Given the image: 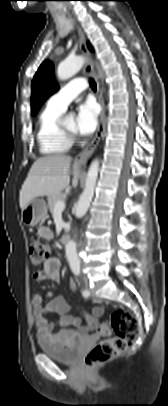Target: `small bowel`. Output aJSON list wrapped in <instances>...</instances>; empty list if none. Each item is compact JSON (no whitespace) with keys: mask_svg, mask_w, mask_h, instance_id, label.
Here are the masks:
<instances>
[{"mask_svg":"<svg viewBox=\"0 0 168 406\" xmlns=\"http://www.w3.org/2000/svg\"><path fill=\"white\" fill-rule=\"evenodd\" d=\"M38 235L45 239L52 237V231L49 227L42 226L38 229ZM60 260L57 257L48 259L42 270L34 273V280L38 283H55L59 280ZM71 290L76 289L75 281L69 283ZM51 300L43 305V297L35 294L32 297L33 317L38 329L39 337L56 345L73 346L79 339L89 337L90 332L99 331L98 318L103 314V308L95 306L91 314H86V326H81V319L69 314V305L62 297H53L52 293H47ZM48 313H57L60 315L59 330L55 329V324L49 322L46 318Z\"/></svg>","mask_w":168,"mask_h":406,"instance_id":"small-bowel-1","label":"small bowel"}]
</instances>
